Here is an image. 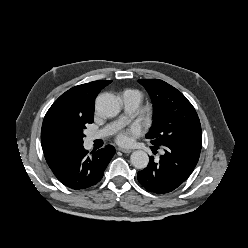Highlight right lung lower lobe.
Here are the masks:
<instances>
[{
	"mask_svg": "<svg viewBox=\"0 0 248 248\" xmlns=\"http://www.w3.org/2000/svg\"><path fill=\"white\" fill-rule=\"evenodd\" d=\"M114 153L115 148L107 145L88 154L82 145L51 169L65 186L72 189H86L102 179L104 170Z\"/></svg>",
	"mask_w": 248,
	"mask_h": 248,
	"instance_id": "right-lung-lower-lobe-1",
	"label": "right lung lower lobe"
}]
</instances>
